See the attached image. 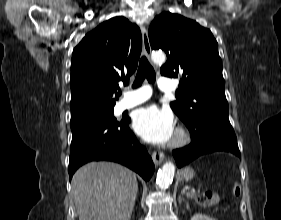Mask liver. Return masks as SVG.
<instances>
[{"label":"liver","mask_w":281,"mask_h":220,"mask_svg":"<svg viewBox=\"0 0 281 220\" xmlns=\"http://www.w3.org/2000/svg\"><path fill=\"white\" fill-rule=\"evenodd\" d=\"M71 186L79 220H130L138 183L126 167L88 163L75 172Z\"/></svg>","instance_id":"1"}]
</instances>
